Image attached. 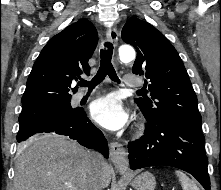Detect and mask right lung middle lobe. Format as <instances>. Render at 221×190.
<instances>
[{
	"instance_id": "right-lung-middle-lobe-1",
	"label": "right lung middle lobe",
	"mask_w": 221,
	"mask_h": 190,
	"mask_svg": "<svg viewBox=\"0 0 221 190\" xmlns=\"http://www.w3.org/2000/svg\"><path fill=\"white\" fill-rule=\"evenodd\" d=\"M71 99L45 102L23 107L19 116V131L52 118H70L78 109H72Z\"/></svg>"
}]
</instances>
